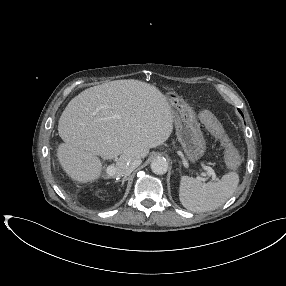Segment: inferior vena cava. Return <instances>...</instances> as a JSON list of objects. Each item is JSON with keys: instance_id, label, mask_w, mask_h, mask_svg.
Segmentation results:
<instances>
[{"instance_id": "1", "label": "inferior vena cava", "mask_w": 286, "mask_h": 286, "mask_svg": "<svg viewBox=\"0 0 286 286\" xmlns=\"http://www.w3.org/2000/svg\"><path fill=\"white\" fill-rule=\"evenodd\" d=\"M141 163L142 160L140 158L128 159L124 165L123 174H125V176L130 175L131 172L136 169Z\"/></svg>"}]
</instances>
